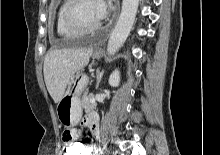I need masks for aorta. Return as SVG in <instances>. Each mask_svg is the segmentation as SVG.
<instances>
[{
    "label": "aorta",
    "instance_id": "obj_1",
    "mask_svg": "<svg viewBox=\"0 0 220 155\" xmlns=\"http://www.w3.org/2000/svg\"><path fill=\"white\" fill-rule=\"evenodd\" d=\"M139 0H123L122 10L108 41L107 52L114 55L126 41L135 21Z\"/></svg>",
    "mask_w": 220,
    "mask_h": 155
}]
</instances>
